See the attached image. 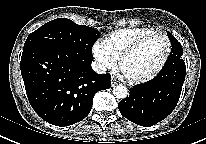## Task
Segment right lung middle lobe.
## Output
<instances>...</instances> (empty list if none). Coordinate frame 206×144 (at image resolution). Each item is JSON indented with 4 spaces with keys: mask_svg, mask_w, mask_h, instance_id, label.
<instances>
[{
    "mask_svg": "<svg viewBox=\"0 0 206 144\" xmlns=\"http://www.w3.org/2000/svg\"><path fill=\"white\" fill-rule=\"evenodd\" d=\"M99 37L100 32L92 27L58 18L32 32L26 39L24 48L34 45L58 46L92 57V46Z\"/></svg>",
    "mask_w": 206,
    "mask_h": 144,
    "instance_id": "dd1d6c3e",
    "label": "right lung middle lobe"
}]
</instances>
